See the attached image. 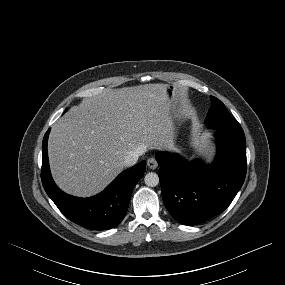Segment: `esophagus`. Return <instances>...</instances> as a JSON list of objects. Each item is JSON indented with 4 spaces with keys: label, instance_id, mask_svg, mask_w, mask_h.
<instances>
[{
    "label": "esophagus",
    "instance_id": "esophagus-1",
    "mask_svg": "<svg viewBox=\"0 0 285 285\" xmlns=\"http://www.w3.org/2000/svg\"><path fill=\"white\" fill-rule=\"evenodd\" d=\"M147 166L150 168V169H152V170H154V169H156L157 167H158V162H157V160L155 159V158H149L148 160H147Z\"/></svg>",
    "mask_w": 285,
    "mask_h": 285
}]
</instances>
